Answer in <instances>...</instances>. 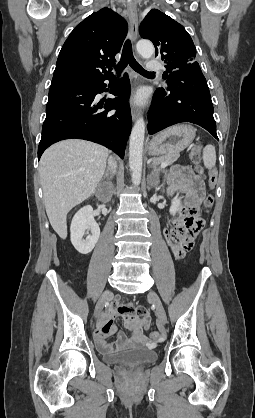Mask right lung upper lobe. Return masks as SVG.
I'll return each mask as SVG.
<instances>
[{
	"label": "right lung upper lobe",
	"instance_id": "cb5924a9",
	"mask_svg": "<svg viewBox=\"0 0 255 418\" xmlns=\"http://www.w3.org/2000/svg\"><path fill=\"white\" fill-rule=\"evenodd\" d=\"M127 28L125 19L108 8L84 19L70 33L59 53L51 86L112 77L115 55L121 49Z\"/></svg>",
	"mask_w": 255,
	"mask_h": 418
}]
</instances>
